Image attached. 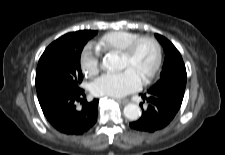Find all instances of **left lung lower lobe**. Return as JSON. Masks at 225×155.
Masks as SVG:
<instances>
[{
	"label": "left lung lower lobe",
	"mask_w": 225,
	"mask_h": 155,
	"mask_svg": "<svg viewBox=\"0 0 225 155\" xmlns=\"http://www.w3.org/2000/svg\"><path fill=\"white\" fill-rule=\"evenodd\" d=\"M141 96L143 102L146 100L149 103L148 108L147 110L142 108L141 118L131 122L130 127L151 133L165 128L173 120L182 104L184 91L179 89L170 92L154 91Z\"/></svg>",
	"instance_id": "left-lung-lower-lobe-1"
}]
</instances>
